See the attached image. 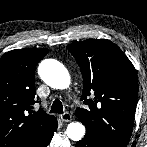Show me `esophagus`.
<instances>
[{
    "label": "esophagus",
    "instance_id": "1",
    "mask_svg": "<svg viewBox=\"0 0 147 147\" xmlns=\"http://www.w3.org/2000/svg\"><path fill=\"white\" fill-rule=\"evenodd\" d=\"M60 118L64 122H70L72 120V115L68 112H65V113L60 115Z\"/></svg>",
    "mask_w": 147,
    "mask_h": 147
}]
</instances>
